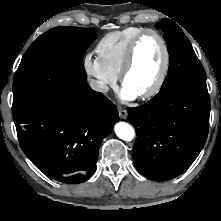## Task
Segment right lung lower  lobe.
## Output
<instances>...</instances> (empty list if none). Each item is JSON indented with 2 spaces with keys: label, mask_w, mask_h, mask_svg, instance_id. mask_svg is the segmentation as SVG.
<instances>
[{
  "label": "right lung lower lobe",
  "mask_w": 221,
  "mask_h": 221,
  "mask_svg": "<svg viewBox=\"0 0 221 221\" xmlns=\"http://www.w3.org/2000/svg\"><path fill=\"white\" fill-rule=\"evenodd\" d=\"M13 120L31 162L47 176L74 184L95 172L100 144L119 115L108 98L84 83Z\"/></svg>",
  "instance_id": "1"
}]
</instances>
